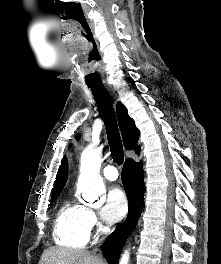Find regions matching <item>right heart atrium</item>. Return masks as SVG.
<instances>
[{
  "label": "right heart atrium",
  "instance_id": "right-heart-atrium-1",
  "mask_svg": "<svg viewBox=\"0 0 221 264\" xmlns=\"http://www.w3.org/2000/svg\"><path fill=\"white\" fill-rule=\"evenodd\" d=\"M87 223H88L90 230L96 229L99 226L96 215L90 210H88L87 212Z\"/></svg>",
  "mask_w": 221,
  "mask_h": 264
}]
</instances>
